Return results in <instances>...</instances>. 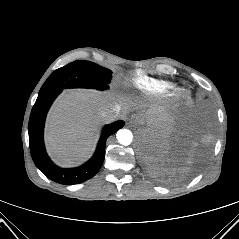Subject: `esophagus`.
<instances>
[{
    "instance_id": "obj_1",
    "label": "esophagus",
    "mask_w": 239,
    "mask_h": 239,
    "mask_svg": "<svg viewBox=\"0 0 239 239\" xmlns=\"http://www.w3.org/2000/svg\"><path fill=\"white\" fill-rule=\"evenodd\" d=\"M129 121L131 124H138L141 121V117L138 114H132Z\"/></svg>"
}]
</instances>
